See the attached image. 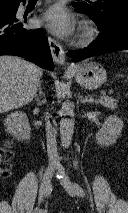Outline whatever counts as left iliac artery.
I'll list each match as a JSON object with an SVG mask.
<instances>
[{"label":"left iliac artery","instance_id":"1","mask_svg":"<svg viewBox=\"0 0 128 213\" xmlns=\"http://www.w3.org/2000/svg\"><path fill=\"white\" fill-rule=\"evenodd\" d=\"M74 186H75L76 192L79 196H82V197L85 196V192L79 184L75 183Z\"/></svg>","mask_w":128,"mask_h":213}]
</instances>
